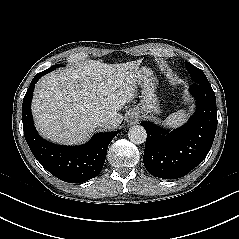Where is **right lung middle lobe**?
<instances>
[{"instance_id":"1","label":"right lung middle lobe","mask_w":239,"mask_h":239,"mask_svg":"<svg viewBox=\"0 0 239 239\" xmlns=\"http://www.w3.org/2000/svg\"><path fill=\"white\" fill-rule=\"evenodd\" d=\"M60 66L61 65H54V66L48 68L47 70H49L51 72V71L55 70L57 67H60Z\"/></svg>"}]
</instances>
